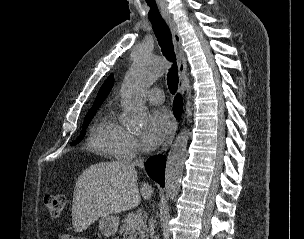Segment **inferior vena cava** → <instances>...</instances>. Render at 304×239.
Instances as JSON below:
<instances>
[{
    "label": "inferior vena cava",
    "mask_w": 304,
    "mask_h": 239,
    "mask_svg": "<svg viewBox=\"0 0 304 239\" xmlns=\"http://www.w3.org/2000/svg\"><path fill=\"white\" fill-rule=\"evenodd\" d=\"M143 166V160L142 159H139V160H136V162L132 165V166ZM151 233L153 234L154 233V221L151 219Z\"/></svg>",
    "instance_id": "obj_1"
}]
</instances>
